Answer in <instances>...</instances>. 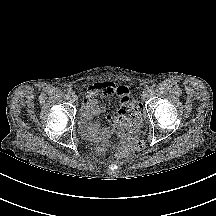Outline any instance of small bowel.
Instances as JSON below:
<instances>
[{
  "instance_id": "small-bowel-1",
  "label": "small bowel",
  "mask_w": 216,
  "mask_h": 216,
  "mask_svg": "<svg viewBox=\"0 0 216 216\" xmlns=\"http://www.w3.org/2000/svg\"><path fill=\"white\" fill-rule=\"evenodd\" d=\"M113 97L120 99L121 108L108 116V120L112 122L121 114L129 103L130 91L124 85H118L113 82L95 83L89 86L85 92V98L81 107L80 130L82 134L98 143H103L108 131L103 129L99 122L93 121V118L106 111V107L100 104L98 96Z\"/></svg>"
}]
</instances>
